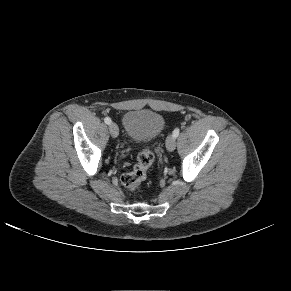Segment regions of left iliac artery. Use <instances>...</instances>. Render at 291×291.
<instances>
[{"mask_svg":"<svg viewBox=\"0 0 291 291\" xmlns=\"http://www.w3.org/2000/svg\"><path fill=\"white\" fill-rule=\"evenodd\" d=\"M179 132H180V129L179 128H175L174 131H173V137L174 138L178 137Z\"/></svg>","mask_w":291,"mask_h":291,"instance_id":"left-iliac-artery-1","label":"left iliac artery"}]
</instances>
